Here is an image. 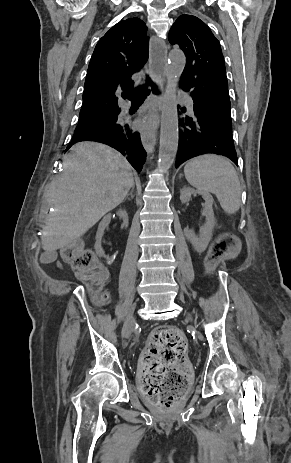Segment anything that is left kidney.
<instances>
[{"mask_svg":"<svg viewBox=\"0 0 291 463\" xmlns=\"http://www.w3.org/2000/svg\"><path fill=\"white\" fill-rule=\"evenodd\" d=\"M192 194H199L205 200V207L202 211V215L205 216V223L200 227L199 235H196L195 232L188 227L184 229V234L186 239L192 244L194 249L198 253H202L206 250L211 237L212 232L215 226V217L213 212V197L209 192L194 190L190 187H183L180 192V200L182 203H187L190 200Z\"/></svg>","mask_w":291,"mask_h":463,"instance_id":"obj_1","label":"left kidney"}]
</instances>
